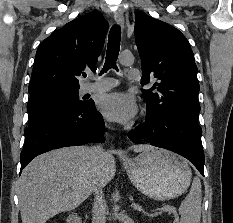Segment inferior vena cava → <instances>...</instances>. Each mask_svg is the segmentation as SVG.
<instances>
[{
  "mask_svg": "<svg viewBox=\"0 0 233 223\" xmlns=\"http://www.w3.org/2000/svg\"><path fill=\"white\" fill-rule=\"evenodd\" d=\"M91 159H94L93 165L94 173L91 179V191L93 193V207H92V219L91 223H106L104 213V199H103V183L100 181L101 169L105 165L104 161L107 157V151H104L103 147L99 145H93L90 147Z\"/></svg>",
  "mask_w": 233,
  "mask_h": 223,
  "instance_id": "inferior-vena-cava-1",
  "label": "inferior vena cava"
}]
</instances>
